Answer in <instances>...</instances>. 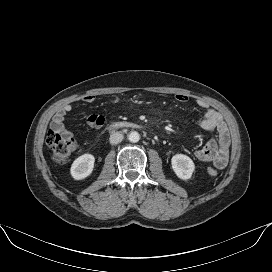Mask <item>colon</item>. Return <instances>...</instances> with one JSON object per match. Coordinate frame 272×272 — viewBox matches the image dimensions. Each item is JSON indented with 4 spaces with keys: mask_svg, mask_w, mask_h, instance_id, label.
Masks as SVG:
<instances>
[{
    "mask_svg": "<svg viewBox=\"0 0 272 272\" xmlns=\"http://www.w3.org/2000/svg\"><path fill=\"white\" fill-rule=\"evenodd\" d=\"M48 147L52 151V159L58 165L66 164L76 151V143L71 138L62 136L55 130H50L46 139ZM210 176L218 174L217 169L210 167L207 170Z\"/></svg>",
    "mask_w": 272,
    "mask_h": 272,
    "instance_id": "1",
    "label": "colon"
}]
</instances>
